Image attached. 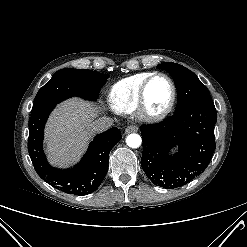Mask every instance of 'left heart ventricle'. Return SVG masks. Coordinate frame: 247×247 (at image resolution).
Returning <instances> with one entry per match:
<instances>
[{
    "label": "left heart ventricle",
    "mask_w": 247,
    "mask_h": 247,
    "mask_svg": "<svg viewBox=\"0 0 247 247\" xmlns=\"http://www.w3.org/2000/svg\"><path fill=\"white\" fill-rule=\"evenodd\" d=\"M171 86L163 77L155 78L147 89V106L152 112L163 110L171 99Z\"/></svg>",
    "instance_id": "obj_1"
}]
</instances>
